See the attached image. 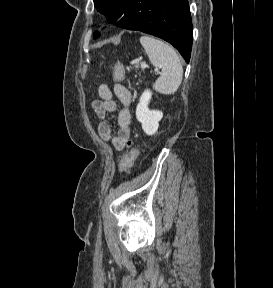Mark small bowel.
Listing matches in <instances>:
<instances>
[{
  "instance_id": "c3829d8e",
  "label": "small bowel",
  "mask_w": 273,
  "mask_h": 288,
  "mask_svg": "<svg viewBox=\"0 0 273 288\" xmlns=\"http://www.w3.org/2000/svg\"><path fill=\"white\" fill-rule=\"evenodd\" d=\"M100 99L94 100L91 104L93 112L103 121L99 123L97 132L100 138L106 142H111L115 149L122 150L128 143L130 137L131 113L129 106L132 101L130 91L118 82L103 83L98 88ZM116 96L122 104L117 117L118 131L112 133L109 123L104 121L108 114L116 109L113 96Z\"/></svg>"
}]
</instances>
